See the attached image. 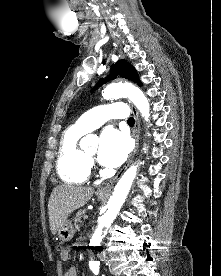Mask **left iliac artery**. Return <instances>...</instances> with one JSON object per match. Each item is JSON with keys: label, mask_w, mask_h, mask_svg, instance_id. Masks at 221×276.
<instances>
[{"label": "left iliac artery", "mask_w": 221, "mask_h": 276, "mask_svg": "<svg viewBox=\"0 0 221 276\" xmlns=\"http://www.w3.org/2000/svg\"><path fill=\"white\" fill-rule=\"evenodd\" d=\"M98 271H99V269L97 268V269H93V272L95 273V274H97L98 273Z\"/></svg>", "instance_id": "left-iliac-artery-1"}]
</instances>
